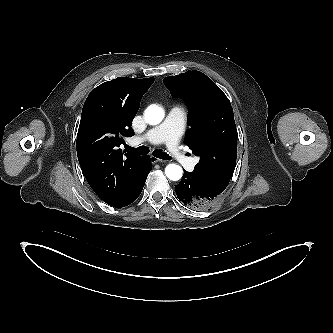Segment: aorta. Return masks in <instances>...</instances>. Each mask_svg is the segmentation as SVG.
<instances>
[{
	"label": "aorta",
	"instance_id": "obj_1",
	"mask_svg": "<svg viewBox=\"0 0 333 333\" xmlns=\"http://www.w3.org/2000/svg\"><path fill=\"white\" fill-rule=\"evenodd\" d=\"M164 115V110L157 105H150L145 110V119L151 125L159 124L163 120ZM165 174L168 179L177 181L182 177L183 170L179 165L169 164L165 168Z\"/></svg>",
	"mask_w": 333,
	"mask_h": 333
}]
</instances>
